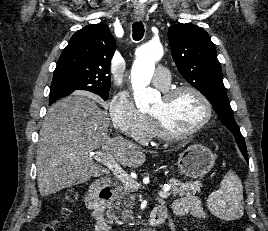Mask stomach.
<instances>
[{
    "label": "stomach",
    "instance_id": "1",
    "mask_svg": "<svg viewBox=\"0 0 268 231\" xmlns=\"http://www.w3.org/2000/svg\"><path fill=\"white\" fill-rule=\"evenodd\" d=\"M215 164V155L201 145L194 144L187 147L178 158L179 173L185 177L196 179L206 175Z\"/></svg>",
    "mask_w": 268,
    "mask_h": 231
}]
</instances>
